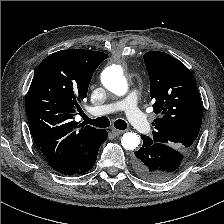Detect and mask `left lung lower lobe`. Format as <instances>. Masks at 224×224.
Segmentation results:
<instances>
[{
    "label": "left lung lower lobe",
    "mask_w": 224,
    "mask_h": 224,
    "mask_svg": "<svg viewBox=\"0 0 224 224\" xmlns=\"http://www.w3.org/2000/svg\"><path fill=\"white\" fill-rule=\"evenodd\" d=\"M143 139L142 147L135 152L133 167L135 172L144 180L164 182L167 175L182 168L185 162L184 153L162 143H153Z\"/></svg>",
    "instance_id": "0a47b994"
}]
</instances>
